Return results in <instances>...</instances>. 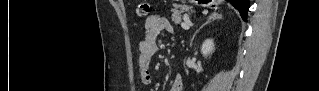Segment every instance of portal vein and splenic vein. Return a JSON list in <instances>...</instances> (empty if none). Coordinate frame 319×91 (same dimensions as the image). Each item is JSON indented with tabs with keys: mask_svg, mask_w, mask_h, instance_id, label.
<instances>
[{
	"mask_svg": "<svg viewBox=\"0 0 319 91\" xmlns=\"http://www.w3.org/2000/svg\"><path fill=\"white\" fill-rule=\"evenodd\" d=\"M190 25H191V23L188 21V22H184V23H181V27L183 28V29H189L190 28Z\"/></svg>",
	"mask_w": 319,
	"mask_h": 91,
	"instance_id": "obj_1",
	"label": "portal vein and splenic vein"
}]
</instances>
